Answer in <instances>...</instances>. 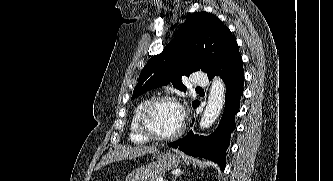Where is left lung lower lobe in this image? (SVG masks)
I'll list each match as a JSON object with an SVG mask.
<instances>
[{
	"label": "left lung lower lobe",
	"mask_w": 333,
	"mask_h": 181,
	"mask_svg": "<svg viewBox=\"0 0 333 181\" xmlns=\"http://www.w3.org/2000/svg\"><path fill=\"white\" fill-rule=\"evenodd\" d=\"M219 75L226 85L225 109L219 126L208 137L193 135L190 131L183 139L169 143V147L179 148L184 153L211 159L225 168V151L229 145L231 132L235 129L234 117L240 107V98L243 93L244 71L242 57L236 46L228 57L212 73L208 75L212 79ZM197 103L193 107H197Z\"/></svg>",
	"instance_id": "1"
}]
</instances>
